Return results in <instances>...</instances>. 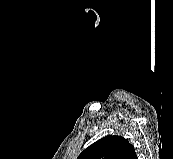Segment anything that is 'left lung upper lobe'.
<instances>
[{
    "instance_id": "5c2ea615",
    "label": "left lung upper lobe",
    "mask_w": 173,
    "mask_h": 159,
    "mask_svg": "<svg viewBox=\"0 0 173 159\" xmlns=\"http://www.w3.org/2000/svg\"><path fill=\"white\" fill-rule=\"evenodd\" d=\"M77 159H137V155L125 138L110 135L90 145Z\"/></svg>"
}]
</instances>
